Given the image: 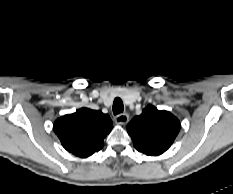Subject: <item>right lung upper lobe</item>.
<instances>
[{"mask_svg":"<svg viewBox=\"0 0 233 194\" xmlns=\"http://www.w3.org/2000/svg\"><path fill=\"white\" fill-rule=\"evenodd\" d=\"M113 128L107 114L81 108L57 119L54 131L63 147L72 154L86 158L103 147V140Z\"/></svg>","mask_w":233,"mask_h":194,"instance_id":"1","label":"right lung upper lobe"}]
</instances>
